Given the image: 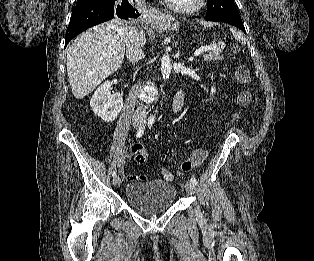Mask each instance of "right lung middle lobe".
<instances>
[{"label":"right lung middle lobe","mask_w":314,"mask_h":261,"mask_svg":"<svg viewBox=\"0 0 314 261\" xmlns=\"http://www.w3.org/2000/svg\"><path fill=\"white\" fill-rule=\"evenodd\" d=\"M89 0H77V4L76 5H80V4H83L85 2H87Z\"/></svg>","instance_id":"obj_1"}]
</instances>
